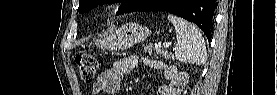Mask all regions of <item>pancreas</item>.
<instances>
[{
	"mask_svg": "<svg viewBox=\"0 0 277 95\" xmlns=\"http://www.w3.org/2000/svg\"><path fill=\"white\" fill-rule=\"evenodd\" d=\"M152 51H153V46H152V45H149V46L144 47V52H145V53L148 52V53L151 55V54H152ZM155 51H156L157 54H160L161 56H163V57L166 58V59H171V60L174 59L173 55H172V54H169L167 51L160 50V49H158V48H156Z\"/></svg>",
	"mask_w": 277,
	"mask_h": 95,
	"instance_id": "obj_1",
	"label": "pancreas"
}]
</instances>
